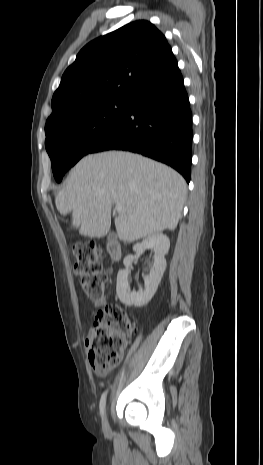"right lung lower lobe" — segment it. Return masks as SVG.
<instances>
[{
  "instance_id": "1",
  "label": "right lung lower lobe",
  "mask_w": 263,
  "mask_h": 465,
  "mask_svg": "<svg viewBox=\"0 0 263 465\" xmlns=\"http://www.w3.org/2000/svg\"><path fill=\"white\" fill-rule=\"evenodd\" d=\"M110 149L161 161L190 181L192 113L178 66L134 92L124 118L90 153Z\"/></svg>"
}]
</instances>
